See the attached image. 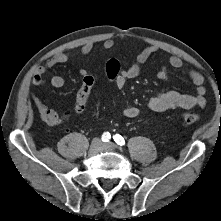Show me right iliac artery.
<instances>
[{
  "label": "right iliac artery",
  "instance_id": "1",
  "mask_svg": "<svg viewBox=\"0 0 221 221\" xmlns=\"http://www.w3.org/2000/svg\"><path fill=\"white\" fill-rule=\"evenodd\" d=\"M111 138V135L109 132H104L103 135H102V141L103 142H108L109 139Z\"/></svg>",
  "mask_w": 221,
  "mask_h": 221
}]
</instances>
